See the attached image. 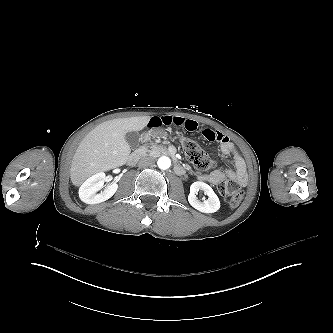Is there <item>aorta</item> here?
Masks as SVG:
<instances>
[{
  "instance_id": "aorta-1",
  "label": "aorta",
  "mask_w": 333,
  "mask_h": 333,
  "mask_svg": "<svg viewBox=\"0 0 333 333\" xmlns=\"http://www.w3.org/2000/svg\"><path fill=\"white\" fill-rule=\"evenodd\" d=\"M171 165V160L169 157L166 156H162L159 160H158V167L162 170H166L170 167Z\"/></svg>"
}]
</instances>
